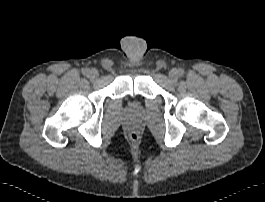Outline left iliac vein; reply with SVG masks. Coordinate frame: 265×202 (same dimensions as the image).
I'll list each match as a JSON object with an SVG mask.
<instances>
[{"label":"left iliac vein","mask_w":265,"mask_h":202,"mask_svg":"<svg viewBox=\"0 0 265 202\" xmlns=\"http://www.w3.org/2000/svg\"><path fill=\"white\" fill-rule=\"evenodd\" d=\"M169 78L171 81H176L177 80V71L176 70H171L169 73Z\"/></svg>","instance_id":"1"}]
</instances>
